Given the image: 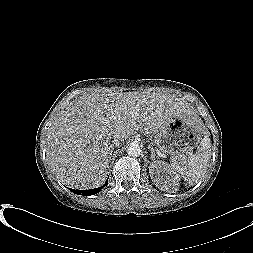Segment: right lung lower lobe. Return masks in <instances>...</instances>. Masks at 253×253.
<instances>
[{
	"mask_svg": "<svg viewBox=\"0 0 253 253\" xmlns=\"http://www.w3.org/2000/svg\"><path fill=\"white\" fill-rule=\"evenodd\" d=\"M107 184L108 183L106 181V183L103 185V187H105ZM101 188H95V189H90V190H72V189H70V190H72L74 193L79 194V195L89 196V195H94V194L100 192Z\"/></svg>",
	"mask_w": 253,
	"mask_h": 253,
	"instance_id": "98d812e1",
	"label": "right lung lower lobe"
}]
</instances>
